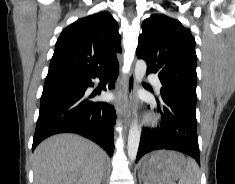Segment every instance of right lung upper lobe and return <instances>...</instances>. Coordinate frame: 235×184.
Listing matches in <instances>:
<instances>
[{"instance_id":"cb5924a9","label":"right lung upper lobe","mask_w":235,"mask_h":184,"mask_svg":"<svg viewBox=\"0 0 235 184\" xmlns=\"http://www.w3.org/2000/svg\"><path fill=\"white\" fill-rule=\"evenodd\" d=\"M118 24L103 11L66 27L58 38L48 73L97 74L118 66Z\"/></svg>"}]
</instances>
